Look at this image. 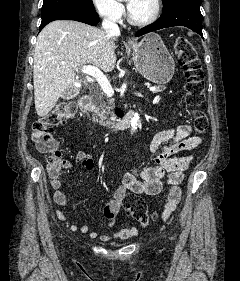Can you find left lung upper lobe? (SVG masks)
I'll list each match as a JSON object with an SVG mask.
<instances>
[{
  "instance_id": "obj_1",
  "label": "left lung upper lobe",
  "mask_w": 240,
  "mask_h": 281,
  "mask_svg": "<svg viewBox=\"0 0 240 281\" xmlns=\"http://www.w3.org/2000/svg\"><path fill=\"white\" fill-rule=\"evenodd\" d=\"M175 1H177V0H162V2H163V10H165L167 7H169Z\"/></svg>"
}]
</instances>
